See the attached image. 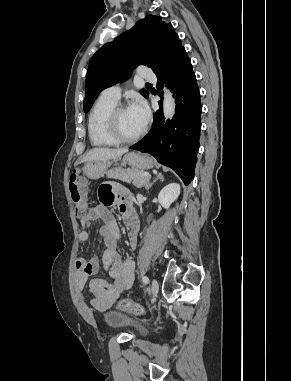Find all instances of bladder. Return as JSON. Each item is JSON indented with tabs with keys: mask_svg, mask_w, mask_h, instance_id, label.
I'll use <instances>...</instances> for the list:
<instances>
[{
	"mask_svg": "<svg viewBox=\"0 0 291 381\" xmlns=\"http://www.w3.org/2000/svg\"><path fill=\"white\" fill-rule=\"evenodd\" d=\"M105 323L111 328H121L125 326H132L135 334L143 335L145 328L138 323H133L129 316L113 310H109L103 315Z\"/></svg>",
	"mask_w": 291,
	"mask_h": 381,
	"instance_id": "1",
	"label": "bladder"
}]
</instances>
